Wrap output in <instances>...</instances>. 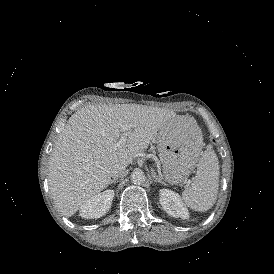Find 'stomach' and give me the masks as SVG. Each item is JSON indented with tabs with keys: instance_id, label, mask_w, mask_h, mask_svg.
Returning a JSON list of instances; mask_svg holds the SVG:
<instances>
[{
	"instance_id": "obj_1",
	"label": "stomach",
	"mask_w": 274,
	"mask_h": 274,
	"mask_svg": "<svg viewBox=\"0 0 274 274\" xmlns=\"http://www.w3.org/2000/svg\"><path fill=\"white\" fill-rule=\"evenodd\" d=\"M199 128L194 121L185 119L181 126H174L172 134L157 138L162 159V177L167 184L179 185L185 182L195 168V153L199 152ZM196 149V150H195Z\"/></svg>"
}]
</instances>
